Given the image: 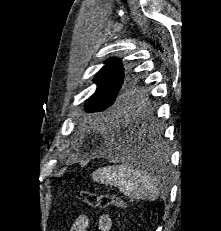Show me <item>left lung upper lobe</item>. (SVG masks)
<instances>
[{
  "label": "left lung upper lobe",
  "mask_w": 221,
  "mask_h": 231,
  "mask_svg": "<svg viewBox=\"0 0 221 231\" xmlns=\"http://www.w3.org/2000/svg\"><path fill=\"white\" fill-rule=\"evenodd\" d=\"M120 59L110 58L97 73L96 92L87 99V112H116L131 103L145 101V93L134 74L124 77Z\"/></svg>",
  "instance_id": "1"
}]
</instances>
